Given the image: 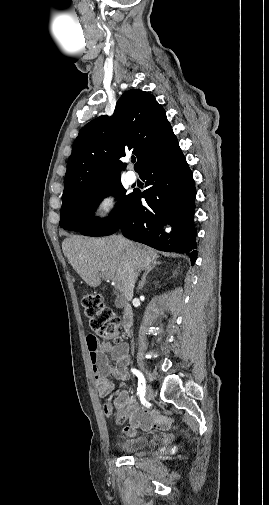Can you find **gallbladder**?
Wrapping results in <instances>:
<instances>
[{
	"instance_id": "1",
	"label": "gallbladder",
	"mask_w": 269,
	"mask_h": 505,
	"mask_svg": "<svg viewBox=\"0 0 269 505\" xmlns=\"http://www.w3.org/2000/svg\"><path fill=\"white\" fill-rule=\"evenodd\" d=\"M115 304L118 308H122L124 306V300L122 298H119Z\"/></svg>"
}]
</instances>
